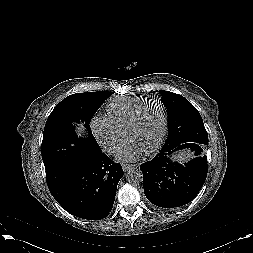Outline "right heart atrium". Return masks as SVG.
<instances>
[{"label": "right heart atrium", "instance_id": "right-heart-atrium-1", "mask_svg": "<svg viewBox=\"0 0 253 253\" xmlns=\"http://www.w3.org/2000/svg\"><path fill=\"white\" fill-rule=\"evenodd\" d=\"M91 129L96 141L108 153L116 152L123 142L124 133L107 118L94 117Z\"/></svg>", "mask_w": 253, "mask_h": 253}]
</instances>
